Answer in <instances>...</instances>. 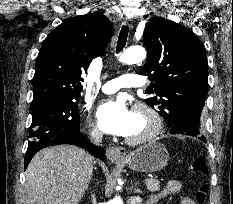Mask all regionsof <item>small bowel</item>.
Here are the masks:
<instances>
[{"label":"small bowel","instance_id":"small-bowel-1","mask_svg":"<svg viewBox=\"0 0 233 204\" xmlns=\"http://www.w3.org/2000/svg\"><path fill=\"white\" fill-rule=\"evenodd\" d=\"M180 190H181V184L178 181L176 180L169 181L165 189L162 191L160 195H157L151 198L150 204L155 203L159 198L163 196L170 195V194H173V195L179 194ZM179 204H195V203L192 199H190L187 196H180Z\"/></svg>","mask_w":233,"mask_h":204}]
</instances>
